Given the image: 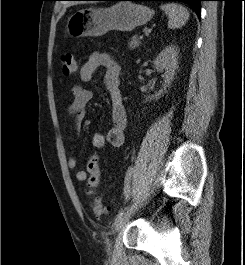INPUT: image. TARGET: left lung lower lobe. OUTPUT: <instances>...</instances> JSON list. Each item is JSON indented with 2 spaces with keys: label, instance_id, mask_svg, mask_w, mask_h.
I'll list each match as a JSON object with an SVG mask.
<instances>
[{
  "label": "left lung lower lobe",
  "instance_id": "1",
  "mask_svg": "<svg viewBox=\"0 0 245 265\" xmlns=\"http://www.w3.org/2000/svg\"><path fill=\"white\" fill-rule=\"evenodd\" d=\"M95 1H182L192 7L200 18V2L204 0H95Z\"/></svg>",
  "mask_w": 245,
  "mask_h": 265
}]
</instances>
